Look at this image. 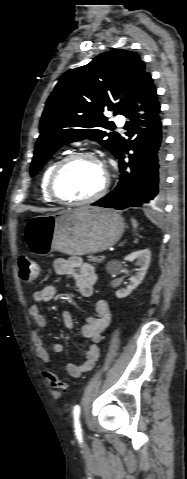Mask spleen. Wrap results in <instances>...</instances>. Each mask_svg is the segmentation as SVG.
<instances>
[{
	"instance_id": "1",
	"label": "spleen",
	"mask_w": 187,
	"mask_h": 479,
	"mask_svg": "<svg viewBox=\"0 0 187 479\" xmlns=\"http://www.w3.org/2000/svg\"><path fill=\"white\" fill-rule=\"evenodd\" d=\"M131 222H132L133 228H134V229H136V228H137V226H138V224H137L136 220H134V219H131Z\"/></svg>"
}]
</instances>
